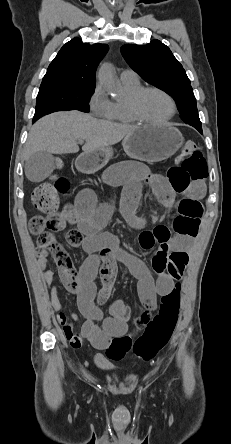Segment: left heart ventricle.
<instances>
[{
    "instance_id": "left-heart-ventricle-1",
    "label": "left heart ventricle",
    "mask_w": 231,
    "mask_h": 444,
    "mask_svg": "<svg viewBox=\"0 0 231 444\" xmlns=\"http://www.w3.org/2000/svg\"><path fill=\"white\" fill-rule=\"evenodd\" d=\"M142 114L151 120H161L171 113L169 100L158 92H147L140 101Z\"/></svg>"
}]
</instances>
